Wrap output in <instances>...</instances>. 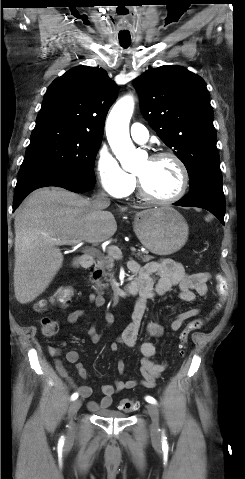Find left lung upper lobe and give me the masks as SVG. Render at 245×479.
I'll use <instances>...</instances> for the list:
<instances>
[{
	"label": "left lung upper lobe",
	"mask_w": 245,
	"mask_h": 479,
	"mask_svg": "<svg viewBox=\"0 0 245 479\" xmlns=\"http://www.w3.org/2000/svg\"><path fill=\"white\" fill-rule=\"evenodd\" d=\"M141 111L185 165L190 188L220 172L213 109L204 80L181 66H161L134 80Z\"/></svg>",
	"instance_id": "1"
}]
</instances>
